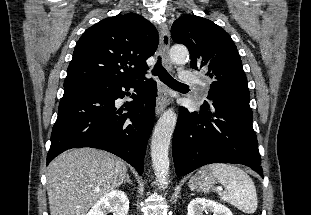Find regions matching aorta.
Instances as JSON below:
<instances>
[{
    "label": "aorta",
    "mask_w": 311,
    "mask_h": 215,
    "mask_svg": "<svg viewBox=\"0 0 311 215\" xmlns=\"http://www.w3.org/2000/svg\"><path fill=\"white\" fill-rule=\"evenodd\" d=\"M189 58L188 49L183 45H174L170 49V59L174 63H184ZM177 115L173 109L166 110L157 121L151 139V158L155 176L160 186L168 184L169 145L176 126Z\"/></svg>",
    "instance_id": "762f6f07"
}]
</instances>
